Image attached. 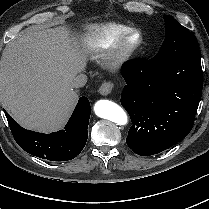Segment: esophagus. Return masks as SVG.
<instances>
[{
    "mask_svg": "<svg viewBox=\"0 0 209 209\" xmlns=\"http://www.w3.org/2000/svg\"><path fill=\"white\" fill-rule=\"evenodd\" d=\"M114 84L111 81L103 82L99 88V93L103 96H107L113 90Z\"/></svg>",
    "mask_w": 209,
    "mask_h": 209,
    "instance_id": "34e87169",
    "label": "esophagus"
}]
</instances>
